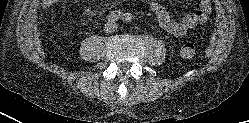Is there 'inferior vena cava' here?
Here are the masks:
<instances>
[{"label": "inferior vena cava", "instance_id": "602c4592", "mask_svg": "<svg viewBox=\"0 0 249 123\" xmlns=\"http://www.w3.org/2000/svg\"><path fill=\"white\" fill-rule=\"evenodd\" d=\"M112 28H113V26L107 25V26L105 27V31H106V32H110V31L112 30Z\"/></svg>", "mask_w": 249, "mask_h": 123}]
</instances>
